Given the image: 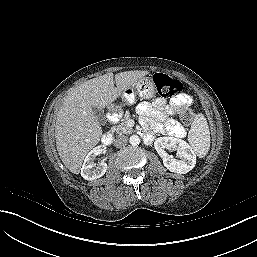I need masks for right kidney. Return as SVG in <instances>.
Returning a JSON list of instances; mask_svg holds the SVG:
<instances>
[{
	"label": "right kidney",
	"mask_w": 257,
	"mask_h": 257,
	"mask_svg": "<svg viewBox=\"0 0 257 257\" xmlns=\"http://www.w3.org/2000/svg\"><path fill=\"white\" fill-rule=\"evenodd\" d=\"M106 151V147L104 145H99L93 148L85 157L82 168H81V176L85 180H95L97 178L102 177L106 170L107 164L105 162H100L97 166L94 163V159L96 156L104 153Z\"/></svg>",
	"instance_id": "1"
}]
</instances>
